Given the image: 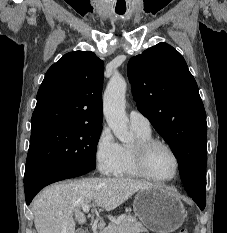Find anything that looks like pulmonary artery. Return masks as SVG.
Returning a JSON list of instances; mask_svg holds the SVG:
<instances>
[{"instance_id":"e3ab8cb5","label":"pulmonary artery","mask_w":227,"mask_h":233,"mask_svg":"<svg viewBox=\"0 0 227 233\" xmlns=\"http://www.w3.org/2000/svg\"><path fill=\"white\" fill-rule=\"evenodd\" d=\"M129 123L133 129L143 132H151L150 121L137 110H131L129 112Z\"/></svg>"}]
</instances>
